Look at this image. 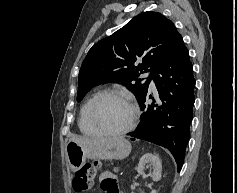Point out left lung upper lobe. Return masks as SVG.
Listing matches in <instances>:
<instances>
[{
  "label": "left lung upper lobe",
  "mask_w": 237,
  "mask_h": 193,
  "mask_svg": "<svg viewBox=\"0 0 237 193\" xmlns=\"http://www.w3.org/2000/svg\"><path fill=\"white\" fill-rule=\"evenodd\" d=\"M181 39L162 14H139L89 50L79 72L77 101L93 86L115 82L130 89L140 103L157 69ZM148 71L146 81L138 78Z\"/></svg>",
  "instance_id": "left-lung-upper-lobe-1"
}]
</instances>
